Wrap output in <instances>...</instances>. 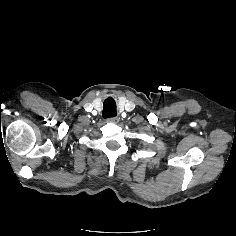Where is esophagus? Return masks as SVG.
<instances>
[{
    "mask_svg": "<svg viewBox=\"0 0 236 236\" xmlns=\"http://www.w3.org/2000/svg\"><path fill=\"white\" fill-rule=\"evenodd\" d=\"M108 121L111 122V123H115L116 124V123L119 122V118L118 117H112V118H109Z\"/></svg>",
    "mask_w": 236,
    "mask_h": 236,
    "instance_id": "34e87169",
    "label": "esophagus"
}]
</instances>
